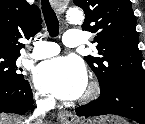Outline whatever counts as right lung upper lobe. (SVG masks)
I'll list each match as a JSON object with an SVG mask.
<instances>
[{
    "instance_id": "cb5924a9",
    "label": "right lung upper lobe",
    "mask_w": 145,
    "mask_h": 124,
    "mask_svg": "<svg viewBox=\"0 0 145 124\" xmlns=\"http://www.w3.org/2000/svg\"><path fill=\"white\" fill-rule=\"evenodd\" d=\"M39 8L26 0H0V51L20 55L24 44L20 38L29 39L42 26Z\"/></svg>"
}]
</instances>
